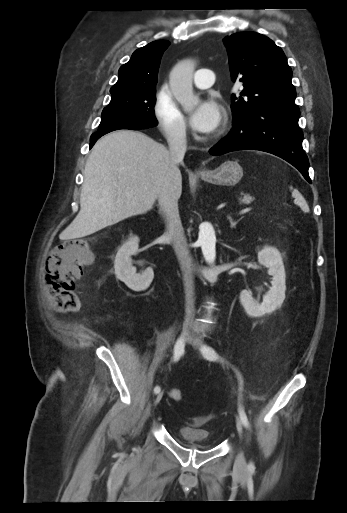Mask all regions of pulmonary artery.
Returning <instances> with one entry per match:
<instances>
[{"instance_id":"1","label":"pulmonary artery","mask_w":347,"mask_h":513,"mask_svg":"<svg viewBox=\"0 0 347 513\" xmlns=\"http://www.w3.org/2000/svg\"><path fill=\"white\" fill-rule=\"evenodd\" d=\"M215 81V73L210 69H198L194 75V84L197 88L206 89Z\"/></svg>"}]
</instances>
